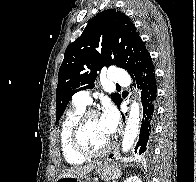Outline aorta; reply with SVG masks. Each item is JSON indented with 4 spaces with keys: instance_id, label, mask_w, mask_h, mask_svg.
Returning a JSON list of instances; mask_svg holds the SVG:
<instances>
[{
    "instance_id": "1",
    "label": "aorta",
    "mask_w": 196,
    "mask_h": 182,
    "mask_svg": "<svg viewBox=\"0 0 196 182\" xmlns=\"http://www.w3.org/2000/svg\"><path fill=\"white\" fill-rule=\"evenodd\" d=\"M140 124V106L139 103L133 101L130 107L129 118L126 123L123 139H122V151L127 152L137 137Z\"/></svg>"
}]
</instances>
